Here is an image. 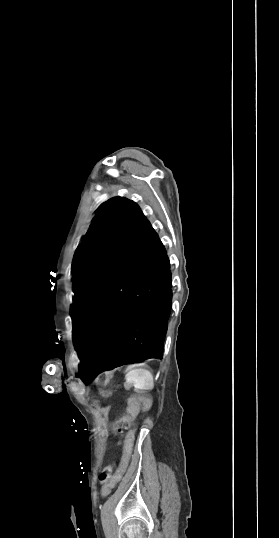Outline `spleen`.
I'll return each mask as SVG.
<instances>
[{
    "mask_svg": "<svg viewBox=\"0 0 279 538\" xmlns=\"http://www.w3.org/2000/svg\"><path fill=\"white\" fill-rule=\"evenodd\" d=\"M128 384L136 386V394H150L153 388V376L148 370H132L127 376Z\"/></svg>",
    "mask_w": 279,
    "mask_h": 538,
    "instance_id": "3e777b00",
    "label": "spleen"
}]
</instances>
